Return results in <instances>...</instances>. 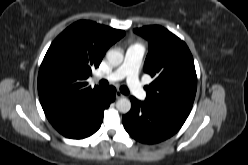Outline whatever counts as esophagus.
Wrapping results in <instances>:
<instances>
[{"label": "esophagus", "instance_id": "1", "mask_svg": "<svg viewBox=\"0 0 248 165\" xmlns=\"http://www.w3.org/2000/svg\"><path fill=\"white\" fill-rule=\"evenodd\" d=\"M122 97H124V95L120 91H117L116 92V99H119V98H122Z\"/></svg>", "mask_w": 248, "mask_h": 165}]
</instances>
